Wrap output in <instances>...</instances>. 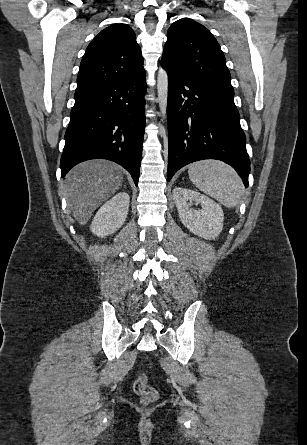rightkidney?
Returning <instances> with one entry per match:
<instances>
[{"mask_svg":"<svg viewBox=\"0 0 307 445\" xmlns=\"http://www.w3.org/2000/svg\"><path fill=\"white\" fill-rule=\"evenodd\" d=\"M130 196L127 192H118L107 200L96 212L90 227L97 237H108L124 225L128 214Z\"/></svg>","mask_w":307,"mask_h":445,"instance_id":"ca27d5eb","label":"right kidney"}]
</instances>
